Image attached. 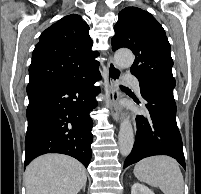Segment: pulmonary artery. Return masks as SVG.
I'll return each mask as SVG.
<instances>
[{
	"label": "pulmonary artery",
	"instance_id": "obj_1",
	"mask_svg": "<svg viewBox=\"0 0 201 194\" xmlns=\"http://www.w3.org/2000/svg\"><path fill=\"white\" fill-rule=\"evenodd\" d=\"M123 80L126 83L130 84L133 87V89L135 90L136 93H140V84H139L138 79L135 76H133L132 74L127 73V74H125L123 76Z\"/></svg>",
	"mask_w": 201,
	"mask_h": 194
}]
</instances>
